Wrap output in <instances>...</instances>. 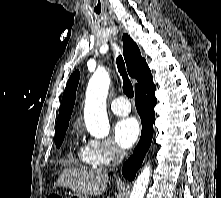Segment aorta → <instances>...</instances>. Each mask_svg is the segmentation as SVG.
Returning a JSON list of instances; mask_svg holds the SVG:
<instances>
[{
	"instance_id": "762f6f07",
	"label": "aorta",
	"mask_w": 221,
	"mask_h": 198,
	"mask_svg": "<svg viewBox=\"0 0 221 198\" xmlns=\"http://www.w3.org/2000/svg\"><path fill=\"white\" fill-rule=\"evenodd\" d=\"M110 84L109 74L98 69L90 78L85 99L84 118L88 132L95 138H104L110 131L106 112V99ZM151 176V168L146 165L137 177L130 198H143Z\"/></svg>"
}]
</instances>
